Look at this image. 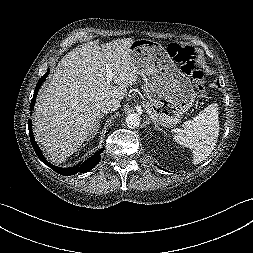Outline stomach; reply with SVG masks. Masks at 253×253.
Listing matches in <instances>:
<instances>
[{
    "label": "stomach",
    "instance_id": "stomach-1",
    "mask_svg": "<svg viewBox=\"0 0 253 253\" xmlns=\"http://www.w3.org/2000/svg\"><path fill=\"white\" fill-rule=\"evenodd\" d=\"M129 50L134 66L144 79L147 100L143 106L147 114L155 126H175L196 97L190 79L158 42L137 39Z\"/></svg>",
    "mask_w": 253,
    "mask_h": 253
}]
</instances>
